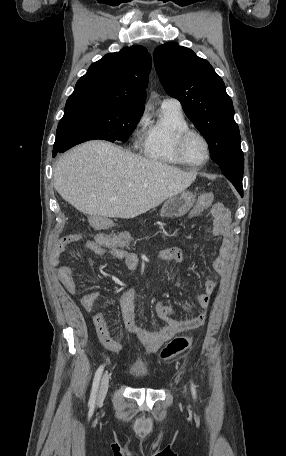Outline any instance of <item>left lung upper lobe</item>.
I'll return each instance as SVG.
<instances>
[{
  "label": "left lung upper lobe",
  "mask_w": 286,
  "mask_h": 456,
  "mask_svg": "<svg viewBox=\"0 0 286 456\" xmlns=\"http://www.w3.org/2000/svg\"><path fill=\"white\" fill-rule=\"evenodd\" d=\"M154 63L165 91L181 102L223 174L243 176L244 156L233 103L210 63L173 42L155 49Z\"/></svg>",
  "instance_id": "left-lung-upper-lobe-1"
}]
</instances>
